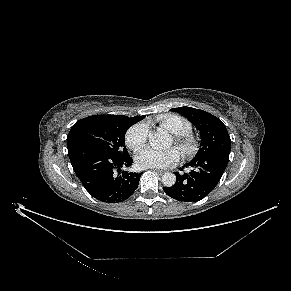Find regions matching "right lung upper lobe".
Segmentation results:
<instances>
[{"label":"right lung upper lobe","mask_w":291,"mask_h":291,"mask_svg":"<svg viewBox=\"0 0 291 291\" xmlns=\"http://www.w3.org/2000/svg\"><path fill=\"white\" fill-rule=\"evenodd\" d=\"M145 116H135L133 118H129L127 116H123V115H94V116H90L84 119H81L79 121H77L71 128L70 131H72L75 127L79 126L80 124L86 122V121H90V120H97V119H123V120H127L132 122L133 124L141 119H143Z\"/></svg>","instance_id":"cb5924a9"}]
</instances>
